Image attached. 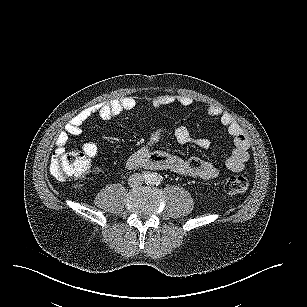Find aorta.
<instances>
[{
    "instance_id": "1",
    "label": "aorta",
    "mask_w": 307,
    "mask_h": 307,
    "mask_svg": "<svg viewBox=\"0 0 307 307\" xmlns=\"http://www.w3.org/2000/svg\"><path fill=\"white\" fill-rule=\"evenodd\" d=\"M151 178L154 179V180H152V183L156 184V185L157 184L159 185L162 181L161 176H159L157 174L152 175Z\"/></svg>"
}]
</instances>
